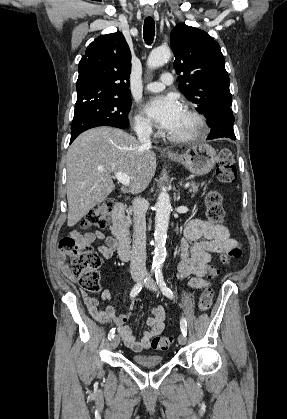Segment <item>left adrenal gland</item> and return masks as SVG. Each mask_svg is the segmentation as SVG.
<instances>
[{"mask_svg":"<svg viewBox=\"0 0 287 419\" xmlns=\"http://www.w3.org/2000/svg\"><path fill=\"white\" fill-rule=\"evenodd\" d=\"M180 195L178 194V196L175 195V200H179Z\"/></svg>","mask_w":287,"mask_h":419,"instance_id":"a2214340","label":"left adrenal gland"}]
</instances>
